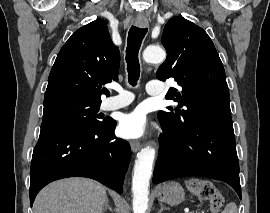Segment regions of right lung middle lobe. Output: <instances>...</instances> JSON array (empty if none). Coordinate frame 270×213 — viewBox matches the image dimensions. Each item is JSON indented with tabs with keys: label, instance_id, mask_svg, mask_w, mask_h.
Listing matches in <instances>:
<instances>
[{
	"label": "right lung middle lobe",
	"instance_id": "right-lung-middle-lobe-1",
	"mask_svg": "<svg viewBox=\"0 0 270 213\" xmlns=\"http://www.w3.org/2000/svg\"><path fill=\"white\" fill-rule=\"evenodd\" d=\"M100 103L64 100L44 106L42 124L64 123L79 127L98 128L106 120H99Z\"/></svg>",
	"mask_w": 270,
	"mask_h": 213
}]
</instances>
